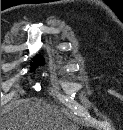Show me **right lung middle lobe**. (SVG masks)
<instances>
[{
  "label": "right lung middle lobe",
  "instance_id": "dd1d6c3e",
  "mask_svg": "<svg viewBox=\"0 0 123 130\" xmlns=\"http://www.w3.org/2000/svg\"><path fill=\"white\" fill-rule=\"evenodd\" d=\"M41 64H43V58L42 57H36L35 63L32 66L35 67V66L41 65Z\"/></svg>",
  "mask_w": 123,
  "mask_h": 130
}]
</instances>
